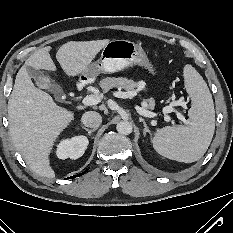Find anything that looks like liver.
Returning a JSON list of instances; mask_svg holds the SVG:
<instances>
[{"instance_id":"6515ba94","label":"liver","mask_w":233,"mask_h":233,"mask_svg":"<svg viewBox=\"0 0 233 233\" xmlns=\"http://www.w3.org/2000/svg\"><path fill=\"white\" fill-rule=\"evenodd\" d=\"M110 40L70 41L56 53L57 61L69 77L83 75L98 52ZM51 47L34 52L19 69L8 100V121L12 142L26 164L36 174L53 178L49 155L60 136L74 119V112L58 106L52 97L34 86L27 66L56 71L49 54Z\"/></svg>"}]
</instances>
